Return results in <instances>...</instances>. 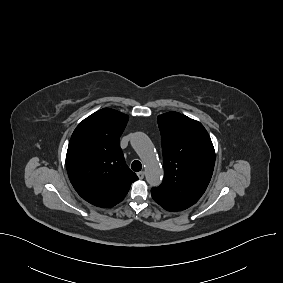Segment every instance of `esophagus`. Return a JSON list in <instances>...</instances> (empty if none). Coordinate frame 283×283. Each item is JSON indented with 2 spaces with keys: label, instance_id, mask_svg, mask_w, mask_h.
Returning <instances> with one entry per match:
<instances>
[{
  "label": "esophagus",
  "instance_id": "34e87169",
  "mask_svg": "<svg viewBox=\"0 0 283 283\" xmlns=\"http://www.w3.org/2000/svg\"><path fill=\"white\" fill-rule=\"evenodd\" d=\"M137 176H138L139 179H143L144 178V171L138 172Z\"/></svg>",
  "mask_w": 283,
  "mask_h": 283
}]
</instances>
